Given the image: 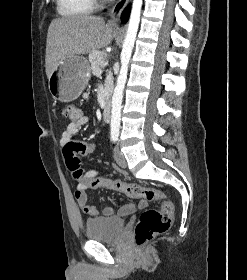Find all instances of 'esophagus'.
<instances>
[{
	"mask_svg": "<svg viewBox=\"0 0 247 280\" xmlns=\"http://www.w3.org/2000/svg\"><path fill=\"white\" fill-rule=\"evenodd\" d=\"M129 0H118L111 12V21L116 22L121 18L123 10L126 8Z\"/></svg>",
	"mask_w": 247,
	"mask_h": 280,
	"instance_id": "obj_1",
	"label": "esophagus"
}]
</instances>
